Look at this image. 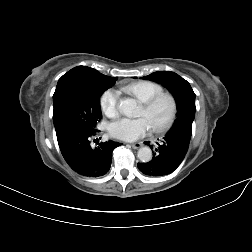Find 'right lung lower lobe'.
I'll list each match as a JSON object with an SVG mask.
<instances>
[{
	"label": "right lung lower lobe",
	"mask_w": 252,
	"mask_h": 252,
	"mask_svg": "<svg viewBox=\"0 0 252 252\" xmlns=\"http://www.w3.org/2000/svg\"><path fill=\"white\" fill-rule=\"evenodd\" d=\"M96 132L99 131L67 128L56 133L61 153L67 164L78 174L87 177L105 175L111 166L113 150L122 145L109 140L94 148L90 145V138L96 135Z\"/></svg>",
	"instance_id": "right-lung-lower-lobe-1"
}]
</instances>
